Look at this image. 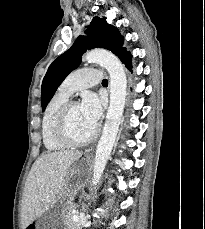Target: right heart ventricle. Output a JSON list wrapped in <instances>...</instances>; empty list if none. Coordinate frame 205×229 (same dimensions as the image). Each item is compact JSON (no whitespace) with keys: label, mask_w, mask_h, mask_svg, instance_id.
Masks as SVG:
<instances>
[{"label":"right heart ventricle","mask_w":205,"mask_h":229,"mask_svg":"<svg viewBox=\"0 0 205 229\" xmlns=\"http://www.w3.org/2000/svg\"><path fill=\"white\" fill-rule=\"evenodd\" d=\"M68 98L59 91L49 100L44 110L41 133L43 144L48 151H59L66 147L57 140L54 128L58 112L68 101Z\"/></svg>","instance_id":"obj_1"}]
</instances>
